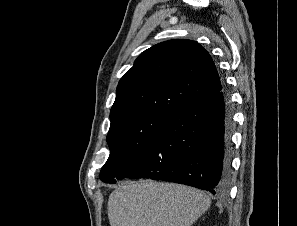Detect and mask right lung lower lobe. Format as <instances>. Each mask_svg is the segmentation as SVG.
<instances>
[{"label":"right lung lower lobe","mask_w":297,"mask_h":226,"mask_svg":"<svg viewBox=\"0 0 297 226\" xmlns=\"http://www.w3.org/2000/svg\"><path fill=\"white\" fill-rule=\"evenodd\" d=\"M233 113L223 88L181 106L117 179L151 178L223 193L231 174Z\"/></svg>","instance_id":"obj_1"}]
</instances>
